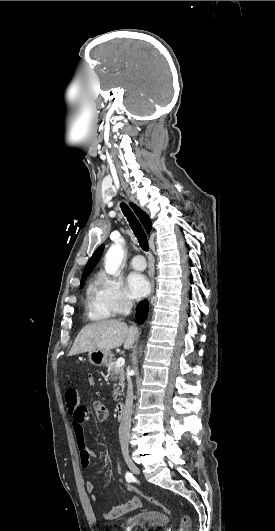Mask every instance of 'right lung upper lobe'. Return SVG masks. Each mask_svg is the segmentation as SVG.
I'll list each match as a JSON object with an SVG mask.
<instances>
[{
  "label": "right lung upper lobe",
  "mask_w": 275,
  "mask_h": 531,
  "mask_svg": "<svg viewBox=\"0 0 275 531\" xmlns=\"http://www.w3.org/2000/svg\"><path fill=\"white\" fill-rule=\"evenodd\" d=\"M136 215L138 216L139 220L143 224L145 230L149 233L151 231V221L149 216L142 211L137 205L131 203L130 204ZM104 245L99 246L92 257L89 259L88 263L86 264L84 268V272L82 274L81 282L85 281L87 275L92 271V269L95 267L97 262L99 261V258L103 252Z\"/></svg>",
  "instance_id": "right-lung-upper-lobe-1"
}]
</instances>
